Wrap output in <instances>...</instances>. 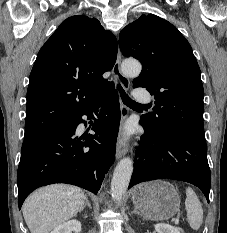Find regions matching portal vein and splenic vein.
Listing matches in <instances>:
<instances>
[{
    "instance_id": "portal-vein-and-splenic-vein-1",
    "label": "portal vein and splenic vein",
    "mask_w": 227,
    "mask_h": 233,
    "mask_svg": "<svg viewBox=\"0 0 227 233\" xmlns=\"http://www.w3.org/2000/svg\"><path fill=\"white\" fill-rule=\"evenodd\" d=\"M173 221H174V224H175V225H178V224H179V218H178V217L174 218Z\"/></svg>"
}]
</instances>
